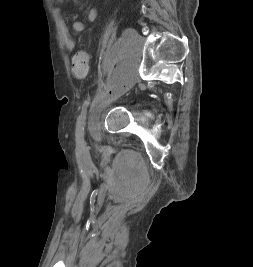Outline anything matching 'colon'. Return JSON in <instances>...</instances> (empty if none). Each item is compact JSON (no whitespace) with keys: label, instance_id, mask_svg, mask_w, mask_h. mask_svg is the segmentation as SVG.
I'll use <instances>...</instances> for the list:
<instances>
[{"label":"colon","instance_id":"colon-1","mask_svg":"<svg viewBox=\"0 0 253 267\" xmlns=\"http://www.w3.org/2000/svg\"><path fill=\"white\" fill-rule=\"evenodd\" d=\"M72 73L78 79L84 78L88 73V55L84 50L76 52L72 58Z\"/></svg>","mask_w":253,"mask_h":267}]
</instances>
